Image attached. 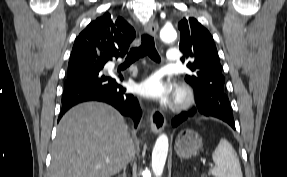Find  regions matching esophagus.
I'll use <instances>...</instances> for the list:
<instances>
[{"label":"esophagus","instance_id":"esophagus-1","mask_svg":"<svg viewBox=\"0 0 287 177\" xmlns=\"http://www.w3.org/2000/svg\"><path fill=\"white\" fill-rule=\"evenodd\" d=\"M145 30L148 34L154 37L158 32V24L156 22L149 21L145 24ZM165 122L166 118L160 110L155 108L151 110L150 123L151 130L154 134L157 135L163 130Z\"/></svg>","mask_w":287,"mask_h":177}]
</instances>
